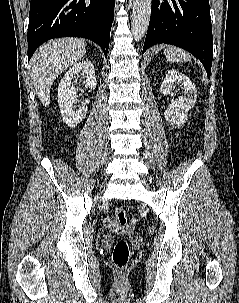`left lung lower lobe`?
I'll use <instances>...</instances> for the list:
<instances>
[{
    "label": "left lung lower lobe",
    "instance_id": "1",
    "mask_svg": "<svg viewBox=\"0 0 239 303\" xmlns=\"http://www.w3.org/2000/svg\"><path fill=\"white\" fill-rule=\"evenodd\" d=\"M157 43L190 52L202 62L210 78L213 38L209 0H152L143 53Z\"/></svg>",
    "mask_w": 239,
    "mask_h": 303
}]
</instances>
